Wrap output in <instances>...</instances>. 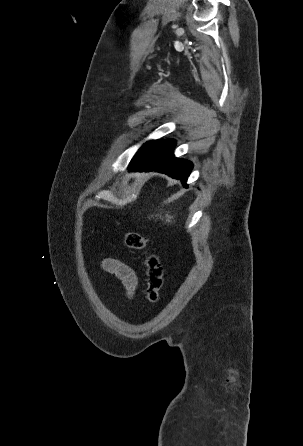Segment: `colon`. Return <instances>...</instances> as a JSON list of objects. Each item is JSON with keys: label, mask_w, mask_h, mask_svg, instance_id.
Returning a JSON list of instances; mask_svg holds the SVG:
<instances>
[{"label": "colon", "mask_w": 303, "mask_h": 446, "mask_svg": "<svg viewBox=\"0 0 303 446\" xmlns=\"http://www.w3.org/2000/svg\"><path fill=\"white\" fill-rule=\"evenodd\" d=\"M124 242L129 249L142 253L146 268V297L150 303L157 302L163 285L164 275L159 257L147 250V240L140 233L127 232Z\"/></svg>", "instance_id": "colon-1"}]
</instances>
